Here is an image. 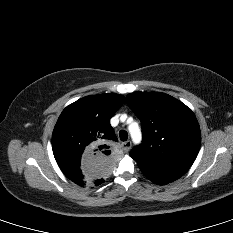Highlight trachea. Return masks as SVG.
<instances>
[{"instance_id":"1","label":"trachea","mask_w":233,"mask_h":233,"mask_svg":"<svg viewBox=\"0 0 233 233\" xmlns=\"http://www.w3.org/2000/svg\"><path fill=\"white\" fill-rule=\"evenodd\" d=\"M119 137L121 141H126L128 139V133L124 130L119 132Z\"/></svg>"}]
</instances>
